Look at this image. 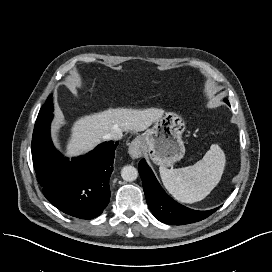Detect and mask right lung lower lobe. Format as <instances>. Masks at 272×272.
Instances as JSON below:
<instances>
[{"label": "right lung lower lobe", "instance_id": "right-lung-lower-lobe-1", "mask_svg": "<svg viewBox=\"0 0 272 272\" xmlns=\"http://www.w3.org/2000/svg\"><path fill=\"white\" fill-rule=\"evenodd\" d=\"M52 113L37 117L32 137V159L44 196L73 217L92 219L109 203V178L118 142H105L84 156L69 160L50 137Z\"/></svg>", "mask_w": 272, "mask_h": 272}]
</instances>
